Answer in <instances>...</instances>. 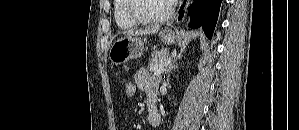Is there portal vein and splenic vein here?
<instances>
[{"label":"portal vein and splenic vein","instance_id":"obj_1","mask_svg":"<svg viewBox=\"0 0 299 130\" xmlns=\"http://www.w3.org/2000/svg\"><path fill=\"white\" fill-rule=\"evenodd\" d=\"M171 61H172L171 59H168V61L165 63L164 66L155 69V70H154V75L158 76V75H160L161 73H163L164 70H165V67H167L168 64L171 63Z\"/></svg>","mask_w":299,"mask_h":130}]
</instances>
